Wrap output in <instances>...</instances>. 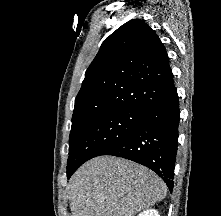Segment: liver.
I'll return each mask as SVG.
<instances>
[{
    "label": "liver",
    "instance_id": "1",
    "mask_svg": "<svg viewBox=\"0 0 221 216\" xmlns=\"http://www.w3.org/2000/svg\"><path fill=\"white\" fill-rule=\"evenodd\" d=\"M68 194L71 216H135L163 200L167 186L142 165L101 156L76 171Z\"/></svg>",
    "mask_w": 221,
    "mask_h": 216
}]
</instances>
